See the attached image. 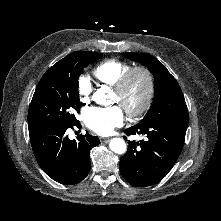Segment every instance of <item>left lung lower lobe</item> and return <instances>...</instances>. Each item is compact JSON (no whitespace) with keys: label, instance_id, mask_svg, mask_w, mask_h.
<instances>
[{"label":"left lung lower lobe","instance_id":"left-lung-lower-lobe-1","mask_svg":"<svg viewBox=\"0 0 221 221\" xmlns=\"http://www.w3.org/2000/svg\"><path fill=\"white\" fill-rule=\"evenodd\" d=\"M187 126L188 111L182 101L165 121L136 125L125 130L126 135L144 134L147 137L140 143L128 141V150L120 159V171L125 180L138 187L162 180L180 155Z\"/></svg>","mask_w":221,"mask_h":221}]
</instances>
